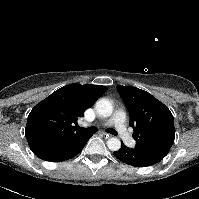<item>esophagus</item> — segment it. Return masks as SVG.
I'll use <instances>...</instances> for the list:
<instances>
[{
  "mask_svg": "<svg viewBox=\"0 0 199 199\" xmlns=\"http://www.w3.org/2000/svg\"><path fill=\"white\" fill-rule=\"evenodd\" d=\"M102 135H103L104 137H106V138H109V137L111 136L110 134L105 133V132H103Z\"/></svg>",
  "mask_w": 199,
  "mask_h": 199,
  "instance_id": "obj_1",
  "label": "esophagus"
}]
</instances>
